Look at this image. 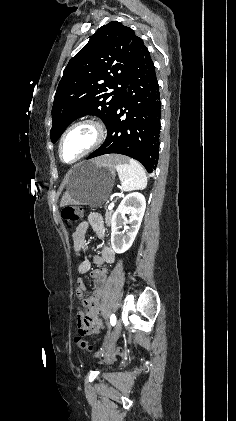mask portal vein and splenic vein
<instances>
[{"mask_svg":"<svg viewBox=\"0 0 236 421\" xmlns=\"http://www.w3.org/2000/svg\"><path fill=\"white\" fill-rule=\"evenodd\" d=\"M115 205V202H111L108 206V211H112L113 206Z\"/></svg>","mask_w":236,"mask_h":421,"instance_id":"1","label":"portal vein and splenic vein"}]
</instances>
